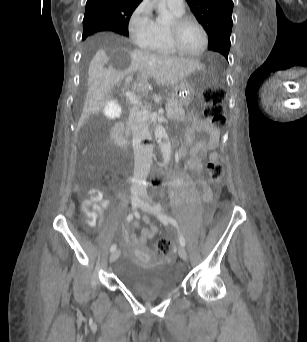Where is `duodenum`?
I'll list each match as a JSON object with an SVG mask.
<instances>
[{"label":"duodenum","instance_id":"410a0bca","mask_svg":"<svg viewBox=\"0 0 307 342\" xmlns=\"http://www.w3.org/2000/svg\"><path fill=\"white\" fill-rule=\"evenodd\" d=\"M112 139L118 148L124 150L127 146V140L124 134V128L122 124H116L112 129Z\"/></svg>","mask_w":307,"mask_h":342}]
</instances>
